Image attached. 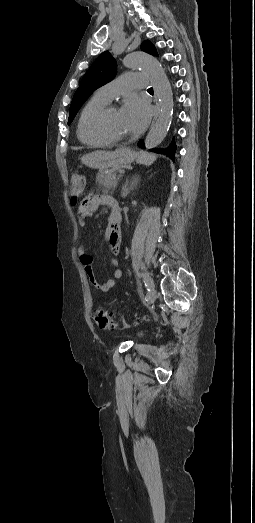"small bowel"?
I'll return each mask as SVG.
<instances>
[{
  "label": "small bowel",
  "mask_w": 255,
  "mask_h": 523,
  "mask_svg": "<svg viewBox=\"0 0 255 523\" xmlns=\"http://www.w3.org/2000/svg\"><path fill=\"white\" fill-rule=\"evenodd\" d=\"M109 197L106 196H87L85 200L80 204L78 208V217L77 222L81 228H84L86 225V219L90 217L101 204H108L107 200ZM105 235L108 241V247L110 252L113 255H118L120 250V234L118 227H112L108 224L106 227ZM77 254L79 256L80 262L84 265L85 271L91 285L97 290L106 293L110 291L115 285V279L122 277V270L116 268L114 271V278H109L103 282H100L94 273L92 263V256L86 251L82 243L77 247ZM111 264L114 267H118L119 261L117 258L113 257L110 260Z\"/></svg>",
  "instance_id": "obj_1"
}]
</instances>
